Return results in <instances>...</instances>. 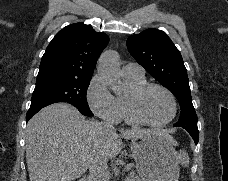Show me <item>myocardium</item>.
I'll return each instance as SVG.
<instances>
[{"label": "myocardium", "mask_w": 228, "mask_h": 181, "mask_svg": "<svg viewBox=\"0 0 228 181\" xmlns=\"http://www.w3.org/2000/svg\"><path fill=\"white\" fill-rule=\"evenodd\" d=\"M149 89H158L161 92H163L167 96V98L169 99V102H170V113L163 120L152 121V120L146 118L144 116L142 110H141L140 98H141L142 94L145 91L149 90ZM129 109H130V112H131L133 118L137 122L142 123V124H146V125H150V126H161L163 124L168 123L173 118V116L175 114V110H176V105H175L174 97L164 87H162V86H160V85H158L156 83H144V84L136 87L133 90V92L131 94V97L129 99Z\"/></svg>", "instance_id": "myocardium-1"}]
</instances>
